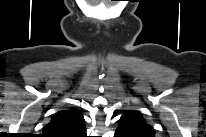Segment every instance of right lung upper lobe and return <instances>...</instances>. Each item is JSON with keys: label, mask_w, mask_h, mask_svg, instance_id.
Masks as SVG:
<instances>
[{"label": "right lung upper lobe", "mask_w": 206, "mask_h": 137, "mask_svg": "<svg viewBox=\"0 0 206 137\" xmlns=\"http://www.w3.org/2000/svg\"><path fill=\"white\" fill-rule=\"evenodd\" d=\"M85 120L75 108L61 110L52 116L51 121L43 127L45 137H84Z\"/></svg>", "instance_id": "1"}]
</instances>
